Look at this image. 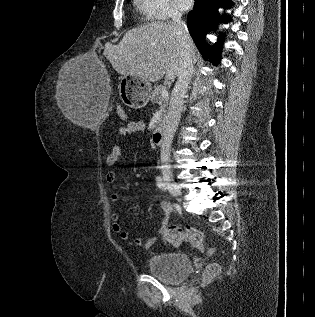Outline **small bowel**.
<instances>
[{
	"label": "small bowel",
	"instance_id": "obj_1",
	"mask_svg": "<svg viewBox=\"0 0 315 317\" xmlns=\"http://www.w3.org/2000/svg\"><path fill=\"white\" fill-rule=\"evenodd\" d=\"M146 130V124L144 121L137 120V121H131L127 123L125 126L120 127L117 130V135L119 137H127L135 133H140L144 132ZM127 147L122 146V145H116L113 147L111 153L106 159V165L110 167L111 169L108 171L106 174V181L107 183H114L116 178H117V169L113 168V166L122 160L127 152ZM131 189L133 193H136V187L134 184L131 185ZM145 190L149 192V188L145 187ZM120 200V195L118 193H112L111 194V201L116 203ZM161 208L164 212L165 218L162 222V226L160 229V232H164V230L167 227L169 217L172 212V207L169 203L167 202H162ZM111 220H112V229L115 233L119 235V237L122 240H128L130 238V233L126 231L120 221V216L117 212H113L111 214ZM156 241V237L152 236L146 240L140 237H136L133 239V243L136 246L142 247L144 249L150 248Z\"/></svg>",
	"mask_w": 315,
	"mask_h": 317
}]
</instances>
